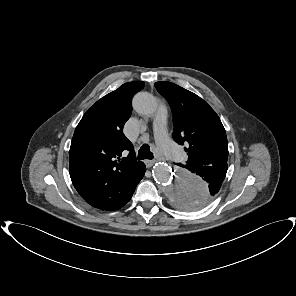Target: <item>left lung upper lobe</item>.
Returning a JSON list of instances; mask_svg holds the SVG:
<instances>
[{
    "label": "left lung upper lobe",
    "instance_id": "left-lung-upper-lobe-1",
    "mask_svg": "<svg viewBox=\"0 0 296 296\" xmlns=\"http://www.w3.org/2000/svg\"><path fill=\"white\" fill-rule=\"evenodd\" d=\"M158 92L169 102L173 119V137L179 144L187 143V164L178 166L196 174L201 167L227 166L228 142L225 129L215 111L196 94L171 82H157ZM206 181V180H205ZM196 192L178 191L173 203L184 210H197L204 205H197L193 195ZM211 200L214 196H210Z\"/></svg>",
    "mask_w": 296,
    "mask_h": 296
}]
</instances>
